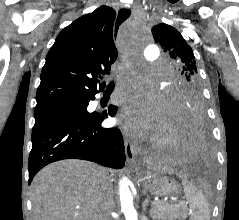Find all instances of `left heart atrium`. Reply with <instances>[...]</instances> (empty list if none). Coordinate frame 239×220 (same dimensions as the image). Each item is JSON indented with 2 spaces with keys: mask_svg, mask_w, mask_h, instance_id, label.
Returning a JSON list of instances; mask_svg holds the SVG:
<instances>
[{
  "mask_svg": "<svg viewBox=\"0 0 239 220\" xmlns=\"http://www.w3.org/2000/svg\"><path fill=\"white\" fill-rule=\"evenodd\" d=\"M122 101L124 102L125 112L128 116L134 114L142 115L134 124L127 121L128 126H133L139 132H146L155 128L156 117H154V107L148 100L139 95L124 94Z\"/></svg>",
  "mask_w": 239,
  "mask_h": 220,
  "instance_id": "1",
  "label": "left heart atrium"
}]
</instances>
